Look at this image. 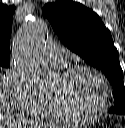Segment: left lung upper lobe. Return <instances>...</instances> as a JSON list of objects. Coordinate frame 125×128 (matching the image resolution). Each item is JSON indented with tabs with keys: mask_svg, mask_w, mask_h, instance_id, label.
<instances>
[{
	"mask_svg": "<svg viewBox=\"0 0 125 128\" xmlns=\"http://www.w3.org/2000/svg\"><path fill=\"white\" fill-rule=\"evenodd\" d=\"M42 14L67 48L106 75L115 100L109 112L125 115V87L118 51L100 17L74 1L48 3Z\"/></svg>",
	"mask_w": 125,
	"mask_h": 128,
	"instance_id": "obj_1",
	"label": "left lung upper lobe"
}]
</instances>
